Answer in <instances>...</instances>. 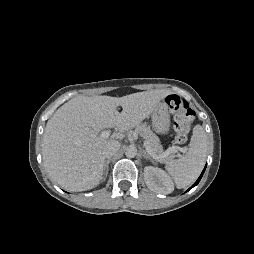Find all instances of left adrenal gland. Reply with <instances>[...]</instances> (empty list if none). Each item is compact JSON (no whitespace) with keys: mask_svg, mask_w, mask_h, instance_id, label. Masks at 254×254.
Instances as JSON below:
<instances>
[{"mask_svg":"<svg viewBox=\"0 0 254 254\" xmlns=\"http://www.w3.org/2000/svg\"><path fill=\"white\" fill-rule=\"evenodd\" d=\"M142 156L148 160H150L152 163H154V160L146 153L145 150L142 152Z\"/></svg>","mask_w":254,"mask_h":254,"instance_id":"a2214340","label":"left adrenal gland"}]
</instances>
